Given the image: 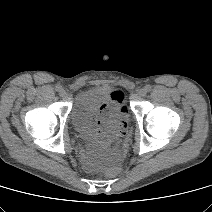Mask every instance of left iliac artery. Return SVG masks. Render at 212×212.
<instances>
[{"instance_id": "44dca946", "label": "left iliac artery", "mask_w": 212, "mask_h": 212, "mask_svg": "<svg viewBox=\"0 0 212 212\" xmlns=\"http://www.w3.org/2000/svg\"><path fill=\"white\" fill-rule=\"evenodd\" d=\"M145 89L147 90V92L151 91L152 87L150 85H146Z\"/></svg>"}]
</instances>
